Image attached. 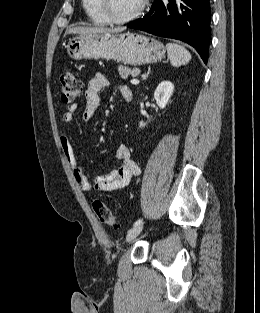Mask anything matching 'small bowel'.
<instances>
[{"instance_id":"small-bowel-1","label":"small bowel","mask_w":260,"mask_h":313,"mask_svg":"<svg viewBox=\"0 0 260 313\" xmlns=\"http://www.w3.org/2000/svg\"><path fill=\"white\" fill-rule=\"evenodd\" d=\"M108 85L109 81L102 73H98L91 78L85 92L86 105L82 113L84 121H90L95 116L100 103V93ZM119 93L125 102L132 100V92L127 86H121ZM76 110L77 105L70 104L67 111L63 114V122L71 123ZM60 143L64 155L71 166L76 183L85 192H112L119 190L126 187L139 174V167L132 158L129 148L125 145H120L117 147L115 156L121 161V166L108 173L97 174L92 180H89L76 159L75 150L70 139L66 135H62Z\"/></svg>"}]
</instances>
